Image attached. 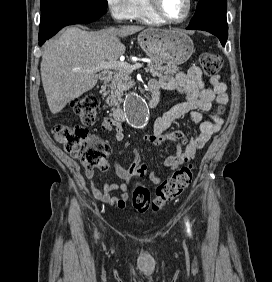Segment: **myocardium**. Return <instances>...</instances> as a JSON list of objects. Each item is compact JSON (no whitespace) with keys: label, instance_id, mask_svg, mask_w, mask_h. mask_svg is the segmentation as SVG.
<instances>
[{"label":"myocardium","instance_id":"f54148a6","mask_svg":"<svg viewBox=\"0 0 272 282\" xmlns=\"http://www.w3.org/2000/svg\"><path fill=\"white\" fill-rule=\"evenodd\" d=\"M147 1H148L147 2L148 10L151 13H153L156 17H158L160 20L166 23H172V24L183 23L190 17L192 10H193L192 0H186L187 10H186L185 15L181 18L175 19V18H170L169 16H167V14L163 11L159 0H147Z\"/></svg>","mask_w":272,"mask_h":282}]
</instances>
